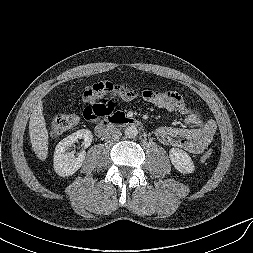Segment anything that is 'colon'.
<instances>
[{
  "mask_svg": "<svg viewBox=\"0 0 253 253\" xmlns=\"http://www.w3.org/2000/svg\"><path fill=\"white\" fill-rule=\"evenodd\" d=\"M110 109L104 104H94L84 112L87 119H95L101 116L109 115ZM77 123V117L69 113H56L50 122V133L53 136H59L62 133L72 129ZM213 156V151L208 150L202 156V161L207 162Z\"/></svg>",
  "mask_w": 253,
  "mask_h": 253,
  "instance_id": "obj_1",
  "label": "colon"
}]
</instances>
